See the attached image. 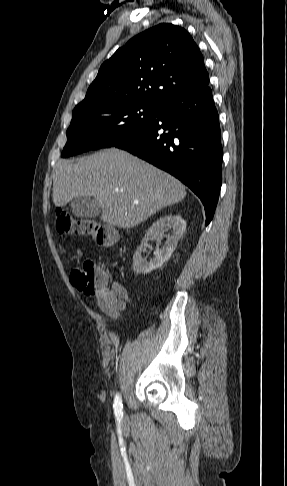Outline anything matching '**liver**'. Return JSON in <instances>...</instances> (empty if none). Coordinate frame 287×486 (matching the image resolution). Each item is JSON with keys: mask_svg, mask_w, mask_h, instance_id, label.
<instances>
[{"mask_svg": "<svg viewBox=\"0 0 287 486\" xmlns=\"http://www.w3.org/2000/svg\"><path fill=\"white\" fill-rule=\"evenodd\" d=\"M184 185L153 165L116 148L79 159L60 160L53 176L56 207L78 197H94L100 219L132 228L159 210L184 199Z\"/></svg>", "mask_w": 287, "mask_h": 486, "instance_id": "liver-1", "label": "liver"}]
</instances>
